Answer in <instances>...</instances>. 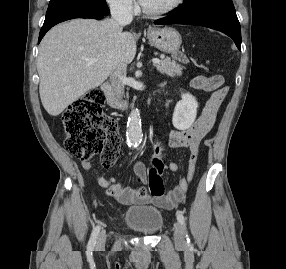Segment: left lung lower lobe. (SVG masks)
Listing matches in <instances>:
<instances>
[{"label":"left lung lower lobe","mask_w":286,"mask_h":269,"mask_svg":"<svg viewBox=\"0 0 286 269\" xmlns=\"http://www.w3.org/2000/svg\"><path fill=\"white\" fill-rule=\"evenodd\" d=\"M155 24L199 25L221 31L231 37L241 50V29L234 8H207L192 12L172 11V15L156 20Z\"/></svg>","instance_id":"left-lung-lower-lobe-1"}]
</instances>
